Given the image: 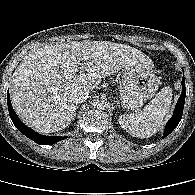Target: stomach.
<instances>
[{
    "mask_svg": "<svg viewBox=\"0 0 195 195\" xmlns=\"http://www.w3.org/2000/svg\"><path fill=\"white\" fill-rule=\"evenodd\" d=\"M159 83L152 60L146 55L137 58L133 64L124 68L119 90L122 106L132 110L138 109L155 95Z\"/></svg>",
    "mask_w": 195,
    "mask_h": 195,
    "instance_id": "stomach-1",
    "label": "stomach"
}]
</instances>
